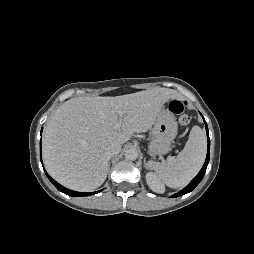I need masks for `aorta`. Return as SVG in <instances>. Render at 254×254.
Here are the masks:
<instances>
[{"label":"aorta","instance_id":"aorta-1","mask_svg":"<svg viewBox=\"0 0 254 254\" xmlns=\"http://www.w3.org/2000/svg\"><path fill=\"white\" fill-rule=\"evenodd\" d=\"M125 158L128 160H136L138 158V151L135 148H130L126 150Z\"/></svg>","mask_w":254,"mask_h":254}]
</instances>
